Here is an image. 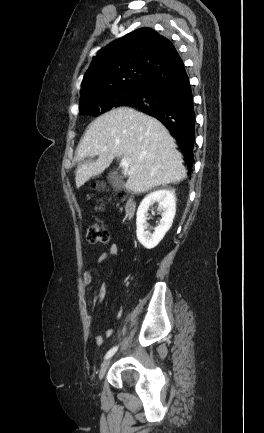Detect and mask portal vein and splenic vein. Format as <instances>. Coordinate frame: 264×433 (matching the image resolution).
<instances>
[{
	"instance_id": "1",
	"label": "portal vein and splenic vein",
	"mask_w": 264,
	"mask_h": 433,
	"mask_svg": "<svg viewBox=\"0 0 264 433\" xmlns=\"http://www.w3.org/2000/svg\"><path fill=\"white\" fill-rule=\"evenodd\" d=\"M120 167H122L125 175L133 174L134 169H129V159L128 157H123L120 162Z\"/></svg>"
}]
</instances>
